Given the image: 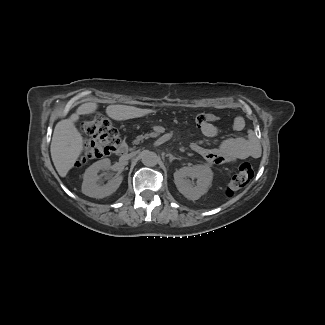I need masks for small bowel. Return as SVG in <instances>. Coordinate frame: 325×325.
<instances>
[{
  "label": "small bowel",
  "mask_w": 325,
  "mask_h": 325,
  "mask_svg": "<svg viewBox=\"0 0 325 325\" xmlns=\"http://www.w3.org/2000/svg\"><path fill=\"white\" fill-rule=\"evenodd\" d=\"M209 115L213 117V119L206 121L199 126L202 134L206 137H216L223 134L224 129L216 124L217 117L213 114ZM244 125V119L238 116L233 120L230 130L233 132L241 131L244 128ZM192 149L207 161L216 164H224L235 160L254 157L257 153L248 141L240 136L226 138L216 148H206L194 144L192 145Z\"/></svg>",
  "instance_id": "c3829d8e"
}]
</instances>
